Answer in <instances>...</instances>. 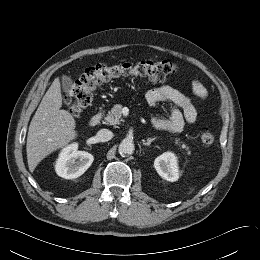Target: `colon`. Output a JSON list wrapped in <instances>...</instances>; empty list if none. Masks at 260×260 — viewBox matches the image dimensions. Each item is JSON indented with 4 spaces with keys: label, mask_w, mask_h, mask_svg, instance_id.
Wrapping results in <instances>:
<instances>
[{
    "label": "colon",
    "mask_w": 260,
    "mask_h": 260,
    "mask_svg": "<svg viewBox=\"0 0 260 260\" xmlns=\"http://www.w3.org/2000/svg\"><path fill=\"white\" fill-rule=\"evenodd\" d=\"M176 72L170 61L146 60L135 63L97 64L87 68L66 96L69 112L77 117L93 100L96 89L103 83L125 78H139L153 83H163ZM203 144L215 141V131L205 128L200 134Z\"/></svg>",
    "instance_id": "5ec220e1"
}]
</instances>
